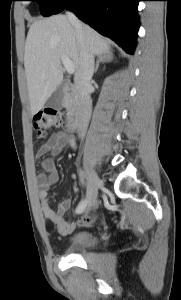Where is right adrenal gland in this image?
Listing matches in <instances>:
<instances>
[{
	"label": "right adrenal gland",
	"mask_w": 181,
	"mask_h": 300,
	"mask_svg": "<svg viewBox=\"0 0 181 300\" xmlns=\"http://www.w3.org/2000/svg\"><path fill=\"white\" fill-rule=\"evenodd\" d=\"M113 58V55L112 53H108L106 55H100L97 62H96V66H95V69H94V73L97 72L98 68H99V64L101 62H106V61H111Z\"/></svg>",
	"instance_id": "right-adrenal-gland-1"
}]
</instances>
